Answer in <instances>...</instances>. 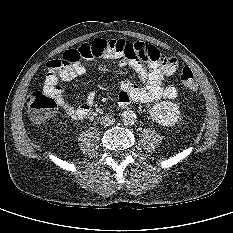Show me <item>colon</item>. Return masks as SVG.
<instances>
[{
	"mask_svg": "<svg viewBox=\"0 0 233 233\" xmlns=\"http://www.w3.org/2000/svg\"><path fill=\"white\" fill-rule=\"evenodd\" d=\"M123 49L121 40H96L82 44L77 49H71L64 52L61 58L53 59L49 66L55 70L63 71L74 66L81 59H93L101 57L109 51H120ZM180 80L182 84L195 90L197 83L192 70L188 67L182 69ZM28 113L35 122H41L49 118L57 109L58 103L55 95L45 90L34 91L26 99Z\"/></svg>",
	"mask_w": 233,
	"mask_h": 233,
	"instance_id": "1",
	"label": "colon"
}]
</instances>
